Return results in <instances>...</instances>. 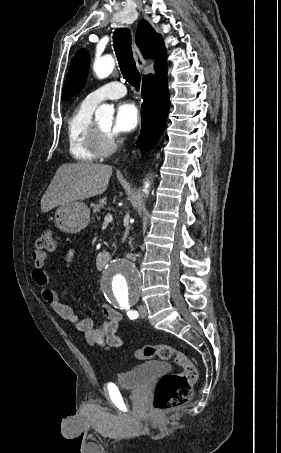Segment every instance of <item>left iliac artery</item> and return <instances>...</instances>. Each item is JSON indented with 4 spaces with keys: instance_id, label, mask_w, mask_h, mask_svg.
Instances as JSON below:
<instances>
[{
    "instance_id": "1",
    "label": "left iliac artery",
    "mask_w": 281,
    "mask_h": 453,
    "mask_svg": "<svg viewBox=\"0 0 281 453\" xmlns=\"http://www.w3.org/2000/svg\"><path fill=\"white\" fill-rule=\"evenodd\" d=\"M129 308H130V305H125V306H122L121 309L129 310ZM127 315L129 316V318H130L131 320H133V319H137V317H138L139 314H138L137 311L130 310V311L127 312Z\"/></svg>"
}]
</instances>
